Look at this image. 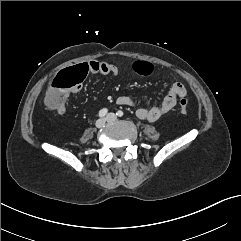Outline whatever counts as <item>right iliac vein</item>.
<instances>
[{
	"label": "right iliac vein",
	"mask_w": 241,
	"mask_h": 241,
	"mask_svg": "<svg viewBox=\"0 0 241 241\" xmlns=\"http://www.w3.org/2000/svg\"><path fill=\"white\" fill-rule=\"evenodd\" d=\"M105 123H106V119L101 118L96 121L95 125L97 128H102L105 125Z\"/></svg>",
	"instance_id": "right-iliac-vein-1"
}]
</instances>
